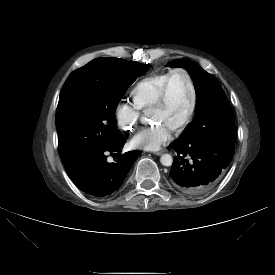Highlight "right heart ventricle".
<instances>
[{
  "instance_id": "obj_1",
  "label": "right heart ventricle",
  "mask_w": 275,
  "mask_h": 275,
  "mask_svg": "<svg viewBox=\"0 0 275 275\" xmlns=\"http://www.w3.org/2000/svg\"><path fill=\"white\" fill-rule=\"evenodd\" d=\"M170 71H163L144 77L138 81L131 91L134 104L140 109L151 108Z\"/></svg>"
}]
</instances>
